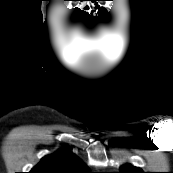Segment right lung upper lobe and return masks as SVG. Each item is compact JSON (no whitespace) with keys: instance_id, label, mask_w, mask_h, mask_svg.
<instances>
[{"instance_id":"right-lung-upper-lobe-1","label":"right lung upper lobe","mask_w":173,"mask_h":173,"mask_svg":"<svg viewBox=\"0 0 173 173\" xmlns=\"http://www.w3.org/2000/svg\"><path fill=\"white\" fill-rule=\"evenodd\" d=\"M88 167L74 154L60 149L41 159L30 173H88Z\"/></svg>"}]
</instances>
